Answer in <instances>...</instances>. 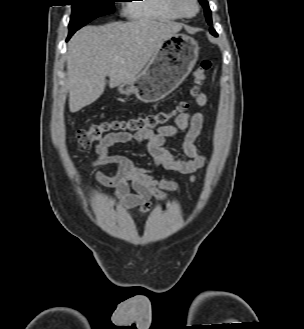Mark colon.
Listing matches in <instances>:
<instances>
[{
	"label": "colon",
	"mask_w": 304,
	"mask_h": 329,
	"mask_svg": "<svg viewBox=\"0 0 304 329\" xmlns=\"http://www.w3.org/2000/svg\"><path fill=\"white\" fill-rule=\"evenodd\" d=\"M212 67V62L205 59L194 72V84L191 95L199 94L207 73ZM189 106L187 100H181L172 110H161L140 116H132L124 119L102 120L92 123L88 128L81 129L76 134V142L79 147L87 149L93 143L117 133L142 134L148 136L159 128L169 124L173 117L184 112Z\"/></svg>",
	"instance_id": "obj_1"
}]
</instances>
